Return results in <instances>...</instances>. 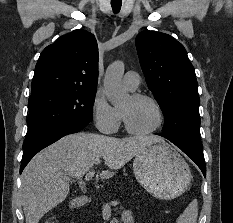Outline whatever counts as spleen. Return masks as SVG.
I'll list each match as a JSON object with an SVG mask.
<instances>
[{"label": "spleen", "instance_id": "obj_1", "mask_svg": "<svg viewBox=\"0 0 233 223\" xmlns=\"http://www.w3.org/2000/svg\"><path fill=\"white\" fill-rule=\"evenodd\" d=\"M198 217V201L193 199L184 209L182 215H179L178 223H196Z\"/></svg>", "mask_w": 233, "mask_h": 223}]
</instances>
